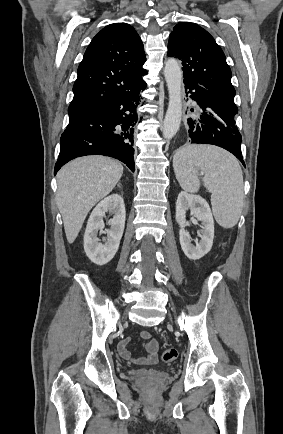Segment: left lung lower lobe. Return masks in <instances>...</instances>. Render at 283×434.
<instances>
[{"instance_id": "1", "label": "left lung lower lobe", "mask_w": 283, "mask_h": 434, "mask_svg": "<svg viewBox=\"0 0 283 434\" xmlns=\"http://www.w3.org/2000/svg\"><path fill=\"white\" fill-rule=\"evenodd\" d=\"M184 84L186 94L189 93V97L199 106L187 119L189 142L222 147L245 166L240 147L242 138L234 120L238 112L234 101L196 82L184 80Z\"/></svg>"}]
</instances>
